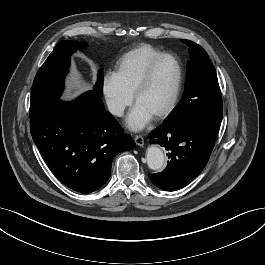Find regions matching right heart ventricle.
<instances>
[{"instance_id": "e07e8e85", "label": "right heart ventricle", "mask_w": 265, "mask_h": 265, "mask_svg": "<svg viewBox=\"0 0 265 265\" xmlns=\"http://www.w3.org/2000/svg\"><path fill=\"white\" fill-rule=\"evenodd\" d=\"M160 54L162 52L151 45L136 46L119 59L112 75L120 87L131 96L146 66Z\"/></svg>"}]
</instances>
